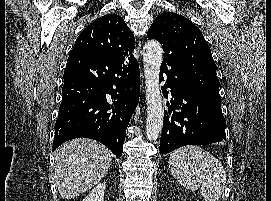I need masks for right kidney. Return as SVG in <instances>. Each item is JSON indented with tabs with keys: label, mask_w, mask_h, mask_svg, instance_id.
I'll list each match as a JSON object with an SVG mask.
<instances>
[{
	"label": "right kidney",
	"mask_w": 271,
	"mask_h": 201,
	"mask_svg": "<svg viewBox=\"0 0 271 201\" xmlns=\"http://www.w3.org/2000/svg\"><path fill=\"white\" fill-rule=\"evenodd\" d=\"M105 183H99L83 201H104Z\"/></svg>",
	"instance_id": "1"
}]
</instances>
